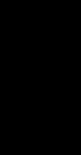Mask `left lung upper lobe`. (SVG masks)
Masks as SVG:
<instances>
[{"mask_svg":"<svg viewBox=\"0 0 81 155\" xmlns=\"http://www.w3.org/2000/svg\"><path fill=\"white\" fill-rule=\"evenodd\" d=\"M50 57L60 71L69 93L70 102L66 110L80 115L81 58L79 53L74 48L66 47L53 50Z\"/></svg>","mask_w":81,"mask_h":155,"instance_id":"obj_1","label":"left lung upper lobe"}]
</instances>
